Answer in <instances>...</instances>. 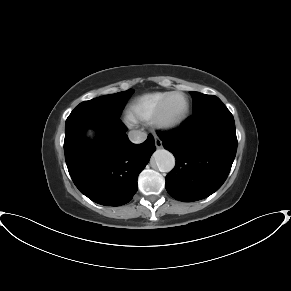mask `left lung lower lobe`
I'll return each instance as SVG.
<instances>
[{"label": "left lung lower lobe", "mask_w": 291, "mask_h": 291, "mask_svg": "<svg viewBox=\"0 0 291 291\" xmlns=\"http://www.w3.org/2000/svg\"><path fill=\"white\" fill-rule=\"evenodd\" d=\"M176 158L166 176L173 198L191 202L217 191L225 182L237 150L233 115L222 103L195 114L181 127L160 136Z\"/></svg>", "instance_id": "left-lung-lower-lobe-1"}]
</instances>
